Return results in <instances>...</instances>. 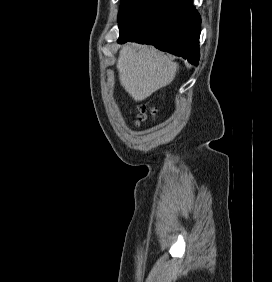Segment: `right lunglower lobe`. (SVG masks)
I'll list each match as a JSON object with an SVG mask.
<instances>
[{"instance_id":"1","label":"right lung lower lobe","mask_w":272,"mask_h":282,"mask_svg":"<svg viewBox=\"0 0 272 282\" xmlns=\"http://www.w3.org/2000/svg\"><path fill=\"white\" fill-rule=\"evenodd\" d=\"M200 24L192 0H140L120 20L118 43L151 44L197 64Z\"/></svg>"}]
</instances>
